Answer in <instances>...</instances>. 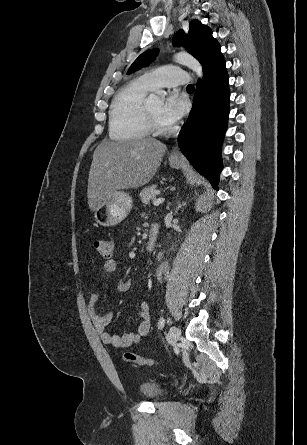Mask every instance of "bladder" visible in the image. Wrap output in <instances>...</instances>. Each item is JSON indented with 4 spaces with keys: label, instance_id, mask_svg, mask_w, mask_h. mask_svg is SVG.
<instances>
[{
    "label": "bladder",
    "instance_id": "bladder-1",
    "mask_svg": "<svg viewBox=\"0 0 307 445\" xmlns=\"http://www.w3.org/2000/svg\"><path fill=\"white\" fill-rule=\"evenodd\" d=\"M139 392L142 397L149 401H157L160 400L165 395V389L151 381L142 382L139 385Z\"/></svg>",
    "mask_w": 307,
    "mask_h": 445
}]
</instances>
